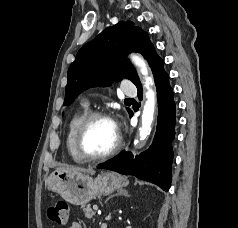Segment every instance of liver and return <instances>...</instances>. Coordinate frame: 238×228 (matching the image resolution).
I'll use <instances>...</instances> for the list:
<instances>
[{"label": "liver", "instance_id": "6515ba94", "mask_svg": "<svg viewBox=\"0 0 238 228\" xmlns=\"http://www.w3.org/2000/svg\"><path fill=\"white\" fill-rule=\"evenodd\" d=\"M61 170L67 171V172H82V173H94V170L92 168H81V167H64L60 168Z\"/></svg>", "mask_w": 238, "mask_h": 228}]
</instances>
